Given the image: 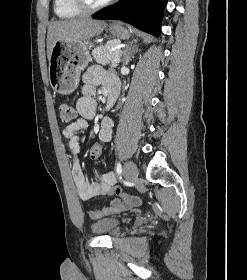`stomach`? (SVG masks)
Instances as JSON below:
<instances>
[{
	"label": "stomach",
	"instance_id": "0dacf381",
	"mask_svg": "<svg viewBox=\"0 0 247 280\" xmlns=\"http://www.w3.org/2000/svg\"><path fill=\"white\" fill-rule=\"evenodd\" d=\"M113 37L128 39L130 31L121 23L109 26ZM91 56L83 41L59 40L55 42L49 60V82L61 94L72 93L79 84L80 73L88 65Z\"/></svg>",
	"mask_w": 247,
	"mask_h": 280
}]
</instances>
